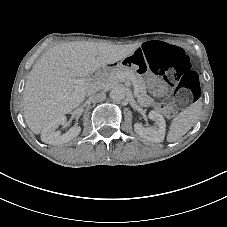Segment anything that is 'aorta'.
I'll list each match as a JSON object with an SVG mask.
<instances>
[{
    "mask_svg": "<svg viewBox=\"0 0 227 227\" xmlns=\"http://www.w3.org/2000/svg\"><path fill=\"white\" fill-rule=\"evenodd\" d=\"M126 96V88L121 85L113 87L110 91V98L113 101H121Z\"/></svg>",
    "mask_w": 227,
    "mask_h": 227,
    "instance_id": "1",
    "label": "aorta"
}]
</instances>
